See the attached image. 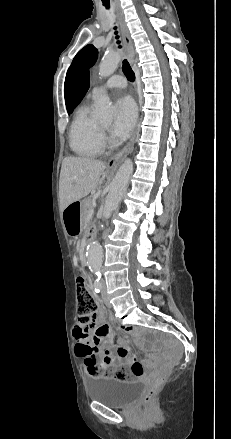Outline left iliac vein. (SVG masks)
Masks as SVG:
<instances>
[{"label":"left iliac vein","mask_w":231,"mask_h":439,"mask_svg":"<svg viewBox=\"0 0 231 439\" xmlns=\"http://www.w3.org/2000/svg\"><path fill=\"white\" fill-rule=\"evenodd\" d=\"M102 297H103L105 305L107 307H111V304H110L109 299L107 297V289H106L105 281H102Z\"/></svg>","instance_id":"left-iliac-vein-1"}]
</instances>
